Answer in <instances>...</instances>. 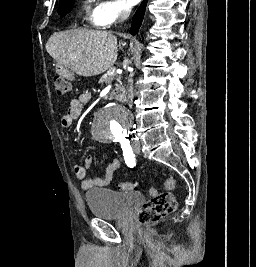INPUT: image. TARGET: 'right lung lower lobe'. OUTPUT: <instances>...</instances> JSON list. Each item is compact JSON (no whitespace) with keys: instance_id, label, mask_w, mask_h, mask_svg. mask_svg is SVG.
<instances>
[{"instance_id":"right-lung-lower-lobe-1","label":"right lung lower lobe","mask_w":256,"mask_h":267,"mask_svg":"<svg viewBox=\"0 0 256 267\" xmlns=\"http://www.w3.org/2000/svg\"><path fill=\"white\" fill-rule=\"evenodd\" d=\"M146 3H147V0H144L141 3V5L137 9V11H136V13H135V15L133 17L132 27H131V30H130L132 35H136L138 33V30H139V28L141 26L142 19H143V16H144Z\"/></svg>"}]
</instances>
